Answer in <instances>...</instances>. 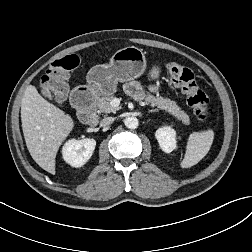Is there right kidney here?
I'll return each mask as SVG.
<instances>
[{
    "mask_svg": "<svg viewBox=\"0 0 252 252\" xmlns=\"http://www.w3.org/2000/svg\"><path fill=\"white\" fill-rule=\"evenodd\" d=\"M95 146L94 139L69 140L62 148L63 159L73 167H82L91 158Z\"/></svg>",
    "mask_w": 252,
    "mask_h": 252,
    "instance_id": "right-kidney-1",
    "label": "right kidney"
}]
</instances>
